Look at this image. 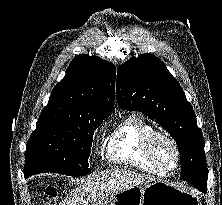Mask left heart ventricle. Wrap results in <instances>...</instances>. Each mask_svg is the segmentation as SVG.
<instances>
[{"mask_svg":"<svg viewBox=\"0 0 222 205\" xmlns=\"http://www.w3.org/2000/svg\"><path fill=\"white\" fill-rule=\"evenodd\" d=\"M154 151L158 160L166 167H172L176 154L173 146L165 140L158 139L154 144Z\"/></svg>","mask_w":222,"mask_h":205,"instance_id":"1","label":"left heart ventricle"}]
</instances>
